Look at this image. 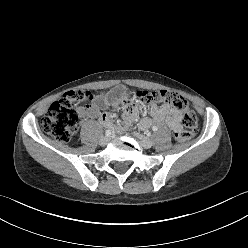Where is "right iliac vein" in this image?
<instances>
[{
  "mask_svg": "<svg viewBox=\"0 0 248 248\" xmlns=\"http://www.w3.org/2000/svg\"><path fill=\"white\" fill-rule=\"evenodd\" d=\"M109 141H110V138H109L108 136H103V137L100 138L99 144H100L101 146H105V145H107V143H108Z\"/></svg>",
  "mask_w": 248,
  "mask_h": 248,
  "instance_id": "right-iliac-vein-1",
  "label": "right iliac vein"
}]
</instances>
